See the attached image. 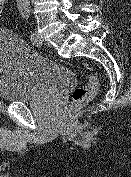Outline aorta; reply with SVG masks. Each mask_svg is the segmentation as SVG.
Here are the masks:
<instances>
[{
	"label": "aorta",
	"instance_id": "aorta-1",
	"mask_svg": "<svg viewBox=\"0 0 131 177\" xmlns=\"http://www.w3.org/2000/svg\"><path fill=\"white\" fill-rule=\"evenodd\" d=\"M17 1L21 3H29V0H17Z\"/></svg>",
	"mask_w": 131,
	"mask_h": 177
}]
</instances>
